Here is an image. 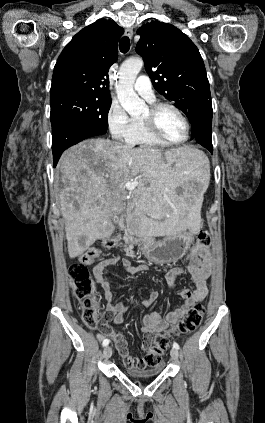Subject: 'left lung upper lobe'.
Instances as JSON below:
<instances>
[{"label": "left lung upper lobe", "instance_id": "obj_1", "mask_svg": "<svg viewBox=\"0 0 265 423\" xmlns=\"http://www.w3.org/2000/svg\"><path fill=\"white\" fill-rule=\"evenodd\" d=\"M137 34L140 40L135 50L143 57L154 88L186 114L193 134L202 115L212 110L209 82L198 48L178 28L157 20L142 25Z\"/></svg>", "mask_w": 265, "mask_h": 423}]
</instances>
